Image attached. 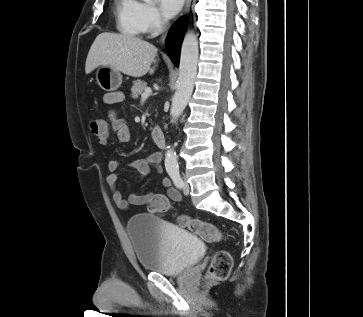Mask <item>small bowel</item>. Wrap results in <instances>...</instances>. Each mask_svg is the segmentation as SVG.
I'll use <instances>...</instances> for the list:
<instances>
[{
    "mask_svg": "<svg viewBox=\"0 0 363 317\" xmlns=\"http://www.w3.org/2000/svg\"><path fill=\"white\" fill-rule=\"evenodd\" d=\"M124 99V95L120 91L108 92L103 96V100L108 105H116L121 103ZM112 135L116 136L119 143H128L132 136L129 127L126 125L123 119L119 118L116 111L111 110L109 113V122L105 123V131L101 135L97 136V140L101 145H107ZM162 155L158 152L151 155L134 159L127 163V167L139 172L142 177L147 176L151 168H155L157 171H161ZM120 166V161L117 159H111L107 163L109 174L107 175V184L112 190V197L115 205L121 209L126 210L129 205L135 206H147L154 200H164L167 206L163 209V212L169 209V200L180 201L181 193L171 186V181L168 178L162 180L163 186L167 189V195L147 193V194H131L128 199H125L121 192L116 188L118 174L117 170Z\"/></svg>",
    "mask_w": 363,
    "mask_h": 317,
    "instance_id": "obj_1",
    "label": "small bowel"
}]
</instances>
